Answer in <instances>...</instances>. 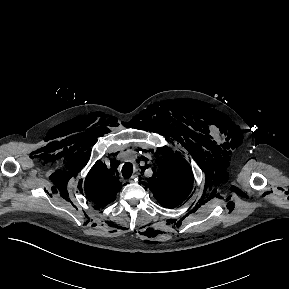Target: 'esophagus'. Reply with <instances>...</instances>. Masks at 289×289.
Masks as SVG:
<instances>
[{"instance_id": "obj_1", "label": "esophagus", "mask_w": 289, "mask_h": 289, "mask_svg": "<svg viewBox=\"0 0 289 289\" xmlns=\"http://www.w3.org/2000/svg\"><path fill=\"white\" fill-rule=\"evenodd\" d=\"M138 180V175L135 174L129 182H134Z\"/></svg>"}]
</instances>
